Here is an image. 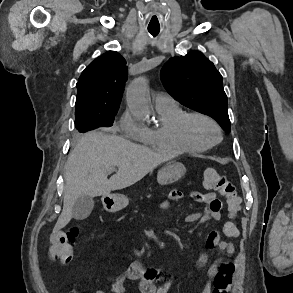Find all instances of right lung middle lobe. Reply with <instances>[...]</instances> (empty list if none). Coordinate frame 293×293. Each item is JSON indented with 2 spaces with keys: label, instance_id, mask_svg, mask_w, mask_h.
<instances>
[{
  "label": "right lung middle lobe",
  "instance_id": "obj_1",
  "mask_svg": "<svg viewBox=\"0 0 293 293\" xmlns=\"http://www.w3.org/2000/svg\"><path fill=\"white\" fill-rule=\"evenodd\" d=\"M116 111L112 113L77 112L75 111V127L85 133L101 126H112Z\"/></svg>",
  "mask_w": 293,
  "mask_h": 293
}]
</instances>
